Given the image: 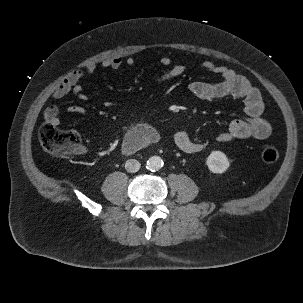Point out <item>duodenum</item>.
I'll list each match as a JSON object with an SVG mask.
<instances>
[{"mask_svg":"<svg viewBox=\"0 0 303 303\" xmlns=\"http://www.w3.org/2000/svg\"><path fill=\"white\" fill-rule=\"evenodd\" d=\"M156 133L149 127H138L131 130L125 137L123 149L126 153L135 152L142 147L155 142Z\"/></svg>","mask_w":303,"mask_h":303,"instance_id":"duodenum-1","label":"duodenum"}]
</instances>
